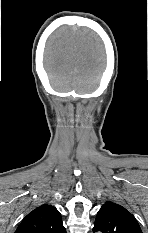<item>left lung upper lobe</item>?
<instances>
[{
	"label": "left lung upper lobe",
	"instance_id": "left-lung-upper-lobe-1",
	"mask_svg": "<svg viewBox=\"0 0 148 233\" xmlns=\"http://www.w3.org/2000/svg\"><path fill=\"white\" fill-rule=\"evenodd\" d=\"M94 232L102 233H142L135 217L121 205L106 202L98 211Z\"/></svg>",
	"mask_w": 148,
	"mask_h": 233
}]
</instances>
